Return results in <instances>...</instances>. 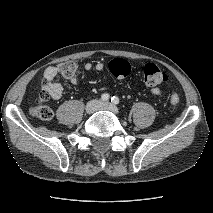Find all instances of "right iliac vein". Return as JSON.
I'll list each match as a JSON object with an SVG mask.
<instances>
[{
    "mask_svg": "<svg viewBox=\"0 0 213 213\" xmlns=\"http://www.w3.org/2000/svg\"><path fill=\"white\" fill-rule=\"evenodd\" d=\"M101 106V102L99 100H92L90 102L87 103L86 105V113L87 114H92L94 112H96Z\"/></svg>",
    "mask_w": 213,
    "mask_h": 213,
    "instance_id": "1",
    "label": "right iliac vein"
}]
</instances>
